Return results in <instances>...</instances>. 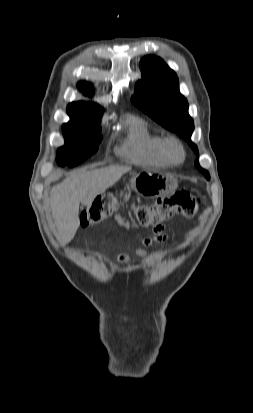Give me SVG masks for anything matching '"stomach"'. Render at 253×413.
<instances>
[{
  "label": "stomach",
  "mask_w": 253,
  "mask_h": 413,
  "mask_svg": "<svg viewBox=\"0 0 253 413\" xmlns=\"http://www.w3.org/2000/svg\"><path fill=\"white\" fill-rule=\"evenodd\" d=\"M131 188L145 198H156L173 193L178 184L172 176H164L153 172H140L130 181ZM122 195V192H121Z\"/></svg>",
  "instance_id": "obj_1"
}]
</instances>
